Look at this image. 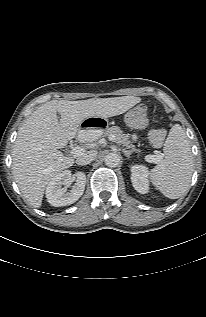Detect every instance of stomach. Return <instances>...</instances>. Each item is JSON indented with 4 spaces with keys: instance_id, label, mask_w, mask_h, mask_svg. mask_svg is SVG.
Returning a JSON list of instances; mask_svg holds the SVG:
<instances>
[{
    "instance_id": "1",
    "label": "stomach",
    "mask_w": 206,
    "mask_h": 317,
    "mask_svg": "<svg viewBox=\"0 0 206 317\" xmlns=\"http://www.w3.org/2000/svg\"><path fill=\"white\" fill-rule=\"evenodd\" d=\"M118 124V119L113 114H108L103 117L93 116L84 118L79 123V136H84L86 139H97L101 133L110 131Z\"/></svg>"
}]
</instances>
